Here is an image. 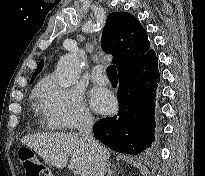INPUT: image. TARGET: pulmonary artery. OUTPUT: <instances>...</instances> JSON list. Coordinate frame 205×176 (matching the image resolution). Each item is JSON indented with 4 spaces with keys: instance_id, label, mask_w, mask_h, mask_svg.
I'll list each match as a JSON object with an SVG mask.
<instances>
[{
    "instance_id": "pulmonary-artery-1",
    "label": "pulmonary artery",
    "mask_w": 205,
    "mask_h": 176,
    "mask_svg": "<svg viewBox=\"0 0 205 176\" xmlns=\"http://www.w3.org/2000/svg\"><path fill=\"white\" fill-rule=\"evenodd\" d=\"M91 78L93 82L96 84L106 85L109 83L108 77L102 73L101 66H96L93 68L92 73H91Z\"/></svg>"
}]
</instances>
